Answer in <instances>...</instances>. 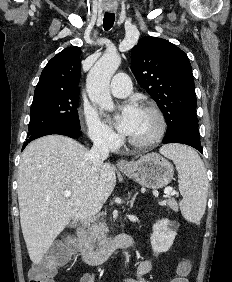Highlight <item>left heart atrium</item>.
Wrapping results in <instances>:
<instances>
[{
  "label": "left heart atrium",
  "mask_w": 232,
  "mask_h": 282,
  "mask_svg": "<svg viewBox=\"0 0 232 282\" xmlns=\"http://www.w3.org/2000/svg\"><path fill=\"white\" fill-rule=\"evenodd\" d=\"M142 109L133 101L126 103L120 110L116 122L117 129L124 135L130 136L137 126Z\"/></svg>",
  "instance_id": "left-heart-atrium-1"
}]
</instances>
